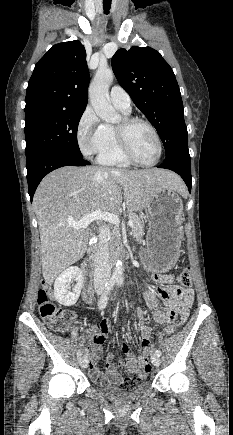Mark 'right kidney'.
<instances>
[{
	"instance_id": "obj_1",
	"label": "right kidney",
	"mask_w": 233,
	"mask_h": 435,
	"mask_svg": "<svg viewBox=\"0 0 233 435\" xmlns=\"http://www.w3.org/2000/svg\"><path fill=\"white\" fill-rule=\"evenodd\" d=\"M72 280L76 281V284L71 290ZM83 280V273L78 267L73 266L64 270L54 282V296L58 303L63 306L74 305L80 296Z\"/></svg>"
}]
</instances>
